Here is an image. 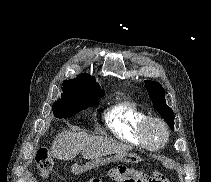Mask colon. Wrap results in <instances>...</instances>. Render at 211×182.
<instances>
[{"instance_id": "colon-1", "label": "colon", "mask_w": 211, "mask_h": 182, "mask_svg": "<svg viewBox=\"0 0 211 182\" xmlns=\"http://www.w3.org/2000/svg\"><path fill=\"white\" fill-rule=\"evenodd\" d=\"M36 161L40 173L44 177H48L53 167L49 150L47 148H40L36 153ZM71 172L74 175H82L85 171L83 165L73 164L71 166ZM111 177L122 182H169L168 179L159 172H154L152 175L147 176L138 170L121 166L117 167L111 173ZM88 182L102 181L99 179H93Z\"/></svg>"}]
</instances>
